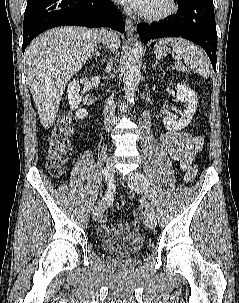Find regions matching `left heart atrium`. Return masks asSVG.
I'll use <instances>...</instances> for the list:
<instances>
[{
	"label": "left heart atrium",
	"mask_w": 239,
	"mask_h": 303,
	"mask_svg": "<svg viewBox=\"0 0 239 303\" xmlns=\"http://www.w3.org/2000/svg\"><path fill=\"white\" fill-rule=\"evenodd\" d=\"M120 2L131 6L135 10L144 11L150 0H119Z\"/></svg>",
	"instance_id": "39dd6f15"
}]
</instances>
